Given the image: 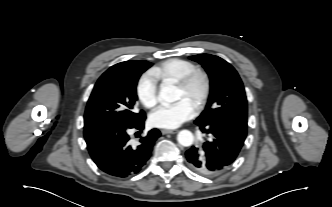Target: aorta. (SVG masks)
Wrapping results in <instances>:
<instances>
[{"instance_id": "762f6f07", "label": "aorta", "mask_w": 332, "mask_h": 207, "mask_svg": "<svg viewBox=\"0 0 332 207\" xmlns=\"http://www.w3.org/2000/svg\"><path fill=\"white\" fill-rule=\"evenodd\" d=\"M159 99L165 102H175L180 99V92L174 85L163 83L159 92ZM180 145L188 147L193 144L194 136L189 130H182L177 135Z\"/></svg>"}]
</instances>
